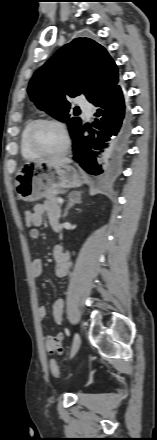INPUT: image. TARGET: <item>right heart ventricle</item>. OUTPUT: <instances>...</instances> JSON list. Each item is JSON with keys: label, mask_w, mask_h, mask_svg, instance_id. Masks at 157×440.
<instances>
[{"label": "right heart ventricle", "mask_w": 157, "mask_h": 440, "mask_svg": "<svg viewBox=\"0 0 157 440\" xmlns=\"http://www.w3.org/2000/svg\"><path fill=\"white\" fill-rule=\"evenodd\" d=\"M36 121H37L36 118H32V119L28 120L27 123L25 124V126L21 132V136H20L21 153L25 159H29V160L36 159L41 156L40 154L36 153L30 147L29 141H28L29 131Z\"/></svg>", "instance_id": "e07e8e85"}]
</instances>
